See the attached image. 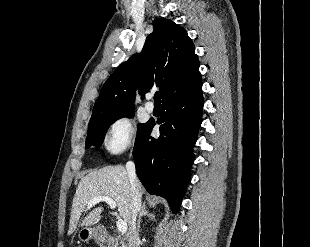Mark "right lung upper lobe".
I'll use <instances>...</instances> for the list:
<instances>
[{"instance_id": "obj_1", "label": "right lung upper lobe", "mask_w": 310, "mask_h": 247, "mask_svg": "<svg viewBox=\"0 0 310 247\" xmlns=\"http://www.w3.org/2000/svg\"><path fill=\"white\" fill-rule=\"evenodd\" d=\"M140 55L123 62L104 83L90 122L134 110L137 87L141 94L159 87L162 101L201 81L195 47L185 29L169 19H157Z\"/></svg>"}]
</instances>
